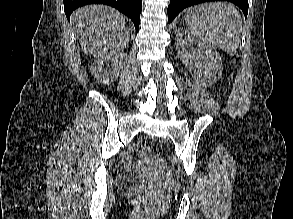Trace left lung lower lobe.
<instances>
[{
	"label": "left lung lower lobe",
	"mask_w": 293,
	"mask_h": 219,
	"mask_svg": "<svg viewBox=\"0 0 293 219\" xmlns=\"http://www.w3.org/2000/svg\"><path fill=\"white\" fill-rule=\"evenodd\" d=\"M209 1H229L237 5L242 9L245 17L248 13V0H171L168 6V23L172 22L173 19L182 11L184 8L198 3L209 2Z\"/></svg>",
	"instance_id": "0a47b994"
}]
</instances>
